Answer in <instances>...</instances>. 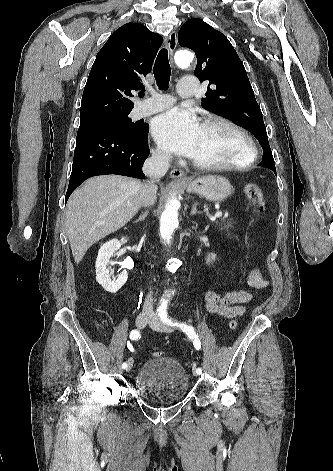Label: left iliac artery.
I'll return each instance as SVG.
<instances>
[{
    "mask_svg": "<svg viewBox=\"0 0 333 471\" xmlns=\"http://www.w3.org/2000/svg\"><path fill=\"white\" fill-rule=\"evenodd\" d=\"M159 315H160L161 321L164 324L180 328L183 332H185L188 335V337L190 339H193V344H194V347L196 348V350H199L201 348V343H200V340L198 338V334L195 332V330L192 326H188L185 323H179L177 321H172L171 319L168 318L166 311H162ZM196 373L201 374L202 369L197 368Z\"/></svg>",
    "mask_w": 333,
    "mask_h": 471,
    "instance_id": "44dca946",
    "label": "left iliac artery"
}]
</instances>
